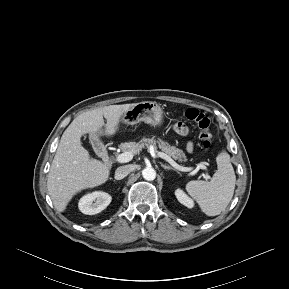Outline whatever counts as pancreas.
Masks as SVG:
<instances>
[{"instance_id": "1", "label": "pancreas", "mask_w": 289, "mask_h": 289, "mask_svg": "<svg viewBox=\"0 0 289 289\" xmlns=\"http://www.w3.org/2000/svg\"><path fill=\"white\" fill-rule=\"evenodd\" d=\"M157 144L161 151L166 155L174 159H178L179 161H186V156L182 150L175 146H171L169 143L162 139H158L156 141L155 137H143L139 142H126L122 143L119 147L123 152H131L133 155H135L139 153L142 148L148 147L150 145H153L155 151H157Z\"/></svg>"}]
</instances>
